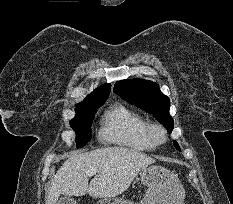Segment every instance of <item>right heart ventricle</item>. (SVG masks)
Instances as JSON below:
<instances>
[{
  "mask_svg": "<svg viewBox=\"0 0 233 204\" xmlns=\"http://www.w3.org/2000/svg\"><path fill=\"white\" fill-rule=\"evenodd\" d=\"M147 121L122 104L111 106L103 114L99 137L102 141L135 151H150L155 144L146 133Z\"/></svg>",
  "mask_w": 233,
  "mask_h": 204,
  "instance_id": "obj_1",
  "label": "right heart ventricle"
}]
</instances>
